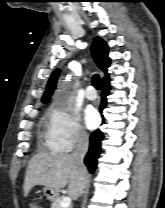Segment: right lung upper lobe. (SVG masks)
<instances>
[{"mask_svg":"<svg viewBox=\"0 0 165 208\" xmlns=\"http://www.w3.org/2000/svg\"><path fill=\"white\" fill-rule=\"evenodd\" d=\"M92 55L97 66L106 74V76L103 78V82H104L107 79H109L107 68L110 65V58L108 57V46L100 37L94 38V42L92 46ZM59 72H60L59 69H56L52 73L46 91L44 92L42 98L43 102L47 101L51 96V94L53 93V91L55 90Z\"/></svg>","mask_w":165,"mask_h":208,"instance_id":"obj_1","label":"right lung upper lobe"}]
</instances>
